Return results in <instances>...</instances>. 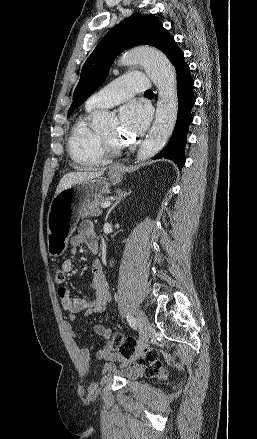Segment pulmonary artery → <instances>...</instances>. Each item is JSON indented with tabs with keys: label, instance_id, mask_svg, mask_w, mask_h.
Wrapping results in <instances>:
<instances>
[{
	"label": "pulmonary artery",
	"instance_id": "obj_1",
	"mask_svg": "<svg viewBox=\"0 0 257 439\" xmlns=\"http://www.w3.org/2000/svg\"><path fill=\"white\" fill-rule=\"evenodd\" d=\"M150 86V79L144 73H128L92 95L86 103V109L113 107L132 94L150 90Z\"/></svg>",
	"mask_w": 257,
	"mask_h": 439
}]
</instances>
